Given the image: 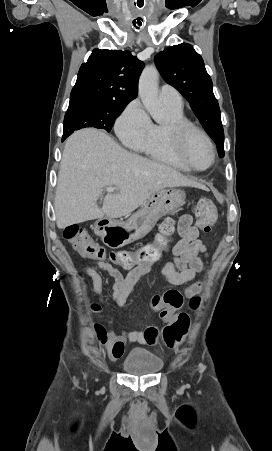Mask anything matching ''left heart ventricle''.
<instances>
[{"mask_svg":"<svg viewBox=\"0 0 272 451\" xmlns=\"http://www.w3.org/2000/svg\"><path fill=\"white\" fill-rule=\"evenodd\" d=\"M186 163L197 170H203L207 168L210 163V153L196 134H191L186 144L185 152Z\"/></svg>","mask_w":272,"mask_h":451,"instance_id":"obj_1","label":"left heart ventricle"}]
</instances>
